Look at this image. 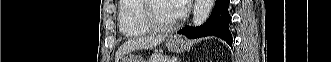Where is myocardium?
<instances>
[{"instance_id": "f54148a6", "label": "myocardium", "mask_w": 331, "mask_h": 62, "mask_svg": "<svg viewBox=\"0 0 331 62\" xmlns=\"http://www.w3.org/2000/svg\"><path fill=\"white\" fill-rule=\"evenodd\" d=\"M155 0H142L140 8V20L150 31L164 32L174 29L179 24V18L173 22L162 24L159 23L151 13L152 4Z\"/></svg>"}]
</instances>
